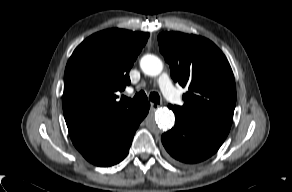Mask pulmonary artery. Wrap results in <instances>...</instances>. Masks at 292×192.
<instances>
[{
    "label": "pulmonary artery",
    "mask_w": 292,
    "mask_h": 192,
    "mask_svg": "<svg viewBox=\"0 0 292 192\" xmlns=\"http://www.w3.org/2000/svg\"><path fill=\"white\" fill-rule=\"evenodd\" d=\"M157 82L163 95L168 101L172 103L180 102V97L175 88L173 87L169 76L166 73L161 74Z\"/></svg>",
    "instance_id": "obj_1"
}]
</instances>
